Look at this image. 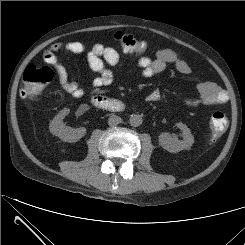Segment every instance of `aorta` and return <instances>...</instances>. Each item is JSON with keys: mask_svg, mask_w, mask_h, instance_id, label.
<instances>
[{"mask_svg": "<svg viewBox=\"0 0 245 245\" xmlns=\"http://www.w3.org/2000/svg\"><path fill=\"white\" fill-rule=\"evenodd\" d=\"M143 120L140 115L132 114L129 118V123L131 126L137 127L142 124Z\"/></svg>", "mask_w": 245, "mask_h": 245, "instance_id": "1", "label": "aorta"}]
</instances>
